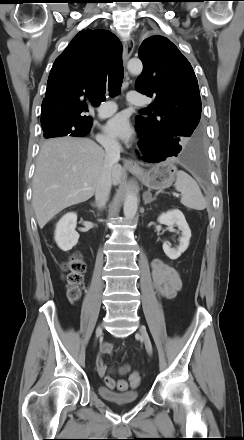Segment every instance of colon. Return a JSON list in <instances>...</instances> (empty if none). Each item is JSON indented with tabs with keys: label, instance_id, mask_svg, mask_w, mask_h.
<instances>
[{
	"label": "colon",
	"instance_id": "colon-1",
	"mask_svg": "<svg viewBox=\"0 0 244 440\" xmlns=\"http://www.w3.org/2000/svg\"><path fill=\"white\" fill-rule=\"evenodd\" d=\"M64 272V281L66 284V294L71 302H75L80 297V285L83 282V276L86 270V265L77 252L73 253L62 265ZM104 384L110 389L124 391L128 388V383L125 380H115L111 376L104 377ZM140 384V377L137 372H133L130 376V385L133 388Z\"/></svg>",
	"mask_w": 244,
	"mask_h": 440
}]
</instances>
